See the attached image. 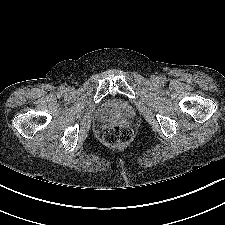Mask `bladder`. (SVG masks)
<instances>
[{
	"instance_id": "obj_1",
	"label": "bladder",
	"mask_w": 225,
	"mask_h": 225,
	"mask_svg": "<svg viewBox=\"0 0 225 225\" xmlns=\"http://www.w3.org/2000/svg\"><path fill=\"white\" fill-rule=\"evenodd\" d=\"M132 114V105L128 101L121 99L111 100L105 104L100 111V116L104 120H108L113 117H129Z\"/></svg>"
}]
</instances>
